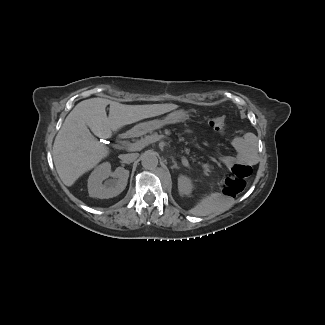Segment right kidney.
I'll return each instance as SVG.
<instances>
[{
    "label": "right kidney",
    "mask_w": 325,
    "mask_h": 325,
    "mask_svg": "<svg viewBox=\"0 0 325 325\" xmlns=\"http://www.w3.org/2000/svg\"><path fill=\"white\" fill-rule=\"evenodd\" d=\"M109 176L113 179L102 183ZM129 171L118 167L111 173V164L105 162L97 166L88 179L89 196L93 198L108 199L119 195L126 187Z\"/></svg>",
    "instance_id": "obj_1"
}]
</instances>
